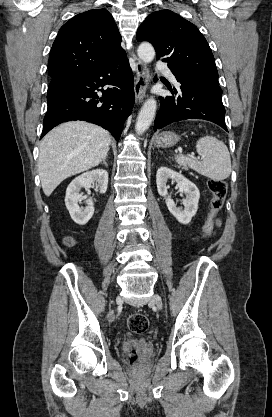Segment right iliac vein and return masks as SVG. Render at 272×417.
Wrapping results in <instances>:
<instances>
[{
  "label": "right iliac vein",
  "instance_id": "63e3f726",
  "mask_svg": "<svg viewBox=\"0 0 272 417\" xmlns=\"http://www.w3.org/2000/svg\"><path fill=\"white\" fill-rule=\"evenodd\" d=\"M117 301H120L121 300V298L120 297H117V299H116Z\"/></svg>",
  "mask_w": 272,
  "mask_h": 417
}]
</instances>
